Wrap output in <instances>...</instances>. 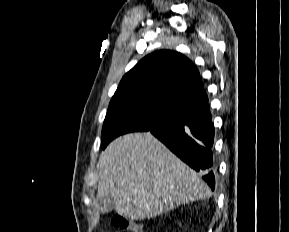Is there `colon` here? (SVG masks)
Masks as SVG:
<instances>
[{"label": "colon", "mask_w": 289, "mask_h": 232, "mask_svg": "<svg viewBox=\"0 0 289 232\" xmlns=\"http://www.w3.org/2000/svg\"><path fill=\"white\" fill-rule=\"evenodd\" d=\"M112 224L121 232H144L140 224L130 221L121 214L112 217Z\"/></svg>", "instance_id": "5ec220e1"}]
</instances>
